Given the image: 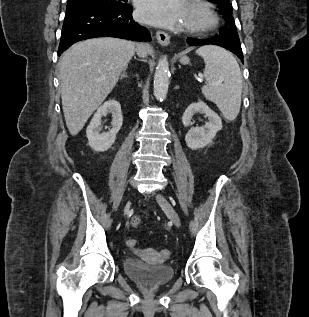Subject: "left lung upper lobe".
<instances>
[{
	"label": "left lung upper lobe",
	"mask_w": 309,
	"mask_h": 317,
	"mask_svg": "<svg viewBox=\"0 0 309 317\" xmlns=\"http://www.w3.org/2000/svg\"><path fill=\"white\" fill-rule=\"evenodd\" d=\"M217 4L219 7V13L223 14V18L225 19V26L221 28L220 34H228L232 35L239 39L236 25L234 19L232 17L233 7L230 3V0H208Z\"/></svg>",
	"instance_id": "left-lung-upper-lobe-1"
}]
</instances>
